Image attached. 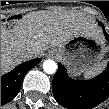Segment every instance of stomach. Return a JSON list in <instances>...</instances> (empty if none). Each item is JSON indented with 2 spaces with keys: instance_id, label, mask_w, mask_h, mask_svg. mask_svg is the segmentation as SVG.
Returning a JSON list of instances; mask_svg holds the SVG:
<instances>
[{
  "instance_id": "0dacf381",
  "label": "stomach",
  "mask_w": 109,
  "mask_h": 109,
  "mask_svg": "<svg viewBox=\"0 0 109 109\" xmlns=\"http://www.w3.org/2000/svg\"><path fill=\"white\" fill-rule=\"evenodd\" d=\"M73 75L94 71L106 62L108 47L105 39L75 34L61 47L51 49Z\"/></svg>"
}]
</instances>
